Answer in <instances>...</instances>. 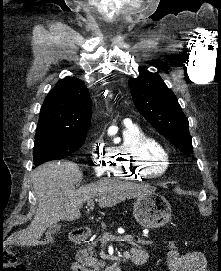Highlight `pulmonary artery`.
Masks as SVG:
<instances>
[{
  "mask_svg": "<svg viewBox=\"0 0 221 271\" xmlns=\"http://www.w3.org/2000/svg\"><path fill=\"white\" fill-rule=\"evenodd\" d=\"M122 127H141V122H122ZM122 138H139L137 128H127V133H122Z\"/></svg>",
  "mask_w": 221,
  "mask_h": 271,
  "instance_id": "e3ab8cb5",
  "label": "pulmonary artery"
}]
</instances>
